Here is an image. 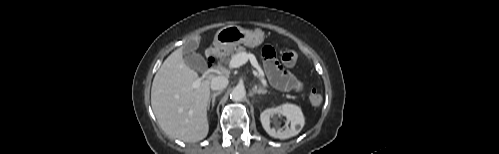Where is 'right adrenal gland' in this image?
Wrapping results in <instances>:
<instances>
[{
  "instance_id": "obj_1",
  "label": "right adrenal gland",
  "mask_w": 499,
  "mask_h": 154,
  "mask_svg": "<svg viewBox=\"0 0 499 154\" xmlns=\"http://www.w3.org/2000/svg\"><path fill=\"white\" fill-rule=\"evenodd\" d=\"M221 94V91H218V92H215V93H212L211 96L209 97V100H208V105H207V109L209 110L210 108V102H212V109L214 107V104H215V98Z\"/></svg>"
}]
</instances>
